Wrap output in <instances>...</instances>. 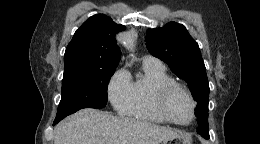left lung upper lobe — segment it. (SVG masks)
Wrapping results in <instances>:
<instances>
[{
	"label": "left lung upper lobe",
	"mask_w": 260,
	"mask_h": 144,
	"mask_svg": "<svg viewBox=\"0 0 260 144\" xmlns=\"http://www.w3.org/2000/svg\"><path fill=\"white\" fill-rule=\"evenodd\" d=\"M146 46L153 56L167 63L174 74L189 84L190 91L198 103L196 108L199 125L197 133L208 138L210 89L198 43L182 24L169 22L162 28L147 30Z\"/></svg>",
	"instance_id": "obj_1"
}]
</instances>
